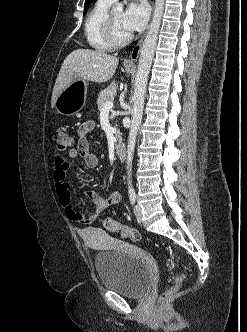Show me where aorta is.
<instances>
[{
  "label": "aorta",
  "instance_id": "aorta-1",
  "mask_svg": "<svg viewBox=\"0 0 247 332\" xmlns=\"http://www.w3.org/2000/svg\"><path fill=\"white\" fill-rule=\"evenodd\" d=\"M164 3L165 0H155L152 22L141 49V54L135 77L132 119H131L130 132L128 136L127 158H126L129 188H131L130 178H131L132 160L135 149V143L138 134V129L142 121L148 75L150 72L152 60L154 57L155 47L157 44L158 33L164 11ZM123 8L124 6L122 3H116L113 6L112 11L115 13L118 12L120 13L123 11Z\"/></svg>",
  "mask_w": 247,
  "mask_h": 332
}]
</instances>
